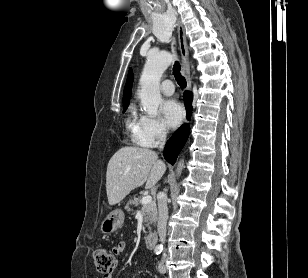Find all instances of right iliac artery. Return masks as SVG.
<instances>
[{
  "label": "right iliac artery",
  "mask_w": 308,
  "mask_h": 278,
  "mask_svg": "<svg viewBox=\"0 0 308 278\" xmlns=\"http://www.w3.org/2000/svg\"><path fill=\"white\" fill-rule=\"evenodd\" d=\"M163 248L162 246H157L154 250L155 254L159 255L162 252Z\"/></svg>",
  "instance_id": "1"
}]
</instances>
